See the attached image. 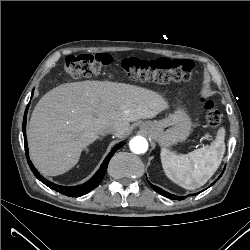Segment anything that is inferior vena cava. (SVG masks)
<instances>
[{
  "instance_id": "obj_1",
  "label": "inferior vena cava",
  "mask_w": 250,
  "mask_h": 250,
  "mask_svg": "<svg viewBox=\"0 0 250 250\" xmlns=\"http://www.w3.org/2000/svg\"><path fill=\"white\" fill-rule=\"evenodd\" d=\"M117 131V127H115L114 125H110L108 128H106L103 132H101V135L107 134V133H111L114 134Z\"/></svg>"
}]
</instances>
